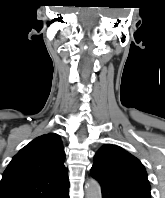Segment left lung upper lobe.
Instances as JSON below:
<instances>
[{
    "instance_id": "left-lung-upper-lobe-1",
    "label": "left lung upper lobe",
    "mask_w": 165,
    "mask_h": 198,
    "mask_svg": "<svg viewBox=\"0 0 165 198\" xmlns=\"http://www.w3.org/2000/svg\"><path fill=\"white\" fill-rule=\"evenodd\" d=\"M91 175L135 198H151L150 185L139 159L112 144L104 145L95 155Z\"/></svg>"
}]
</instances>
